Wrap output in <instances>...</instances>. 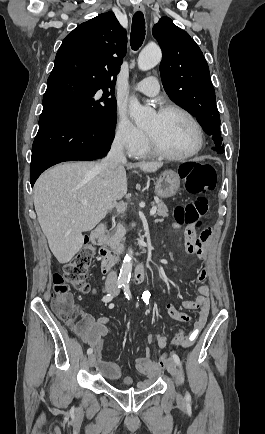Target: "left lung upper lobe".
Masks as SVG:
<instances>
[{
  "instance_id": "obj_1",
  "label": "left lung upper lobe",
  "mask_w": 265,
  "mask_h": 434,
  "mask_svg": "<svg viewBox=\"0 0 265 434\" xmlns=\"http://www.w3.org/2000/svg\"><path fill=\"white\" fill-rule=\"evenodd\" d=\"M152 32L162 49L160 74L166 93L197 117L203 130L212 136L215 149H223L215 90L199 46L168 17H162Z\"/></svg>"
}]
</instances>
